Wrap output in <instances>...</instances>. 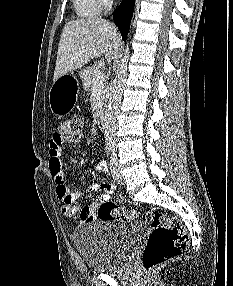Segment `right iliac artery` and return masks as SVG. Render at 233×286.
I'll return each mask as SVG.
<instances>
[{
    "instance_id": "82829eb1",
    "label": "right iliac artery",
    "mask_w": 233,
    "mask_h": 286,
    "mask_svg": "<svg viewBox=\"0 0 233 286\" xmlns=\"http://www.w3.org/2000/svg\"><path fill=\"white\" fill-rule=\"evenodd\" d=\"M110 151H111V147H107V154L109 155L110 154Z\"/></svg>"
}]
</instances>
